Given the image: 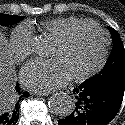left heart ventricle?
I'll return each instance as SVG.
<instances>
[{"instance_id": "b2bd125f", "label": "left heart ventricle", "mask_w": 125, "mask_h": 125, "mask_svg": "<svg viewBox=\"0 0 125 125\" xmlns=\"http://www.w3.org/2000/svg\"><path fill=\"white\" fill-rule=\"evenodd\" d=\"M103 48V36L94 27L77 30L65 44L54 43L51 56L60 58L72 75L84 73L98 62Z\"/></svg>"}]
</instances>
